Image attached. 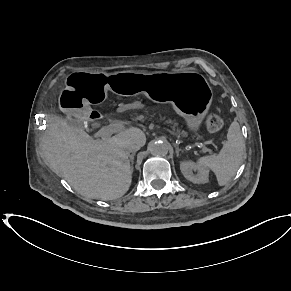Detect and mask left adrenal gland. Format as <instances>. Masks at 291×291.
I'll use <instances>...</instances> for the list:
<instances>
[{
	"label": "left adrenal gland",
	"mask_w": 291,
	"mask_h": 291,
	"mask_svg": "<svg viewBox=\"0 0 291 291\" xmlns=\"http://www.w3.org/2000/svg\"><path fill=\"white\" fill-rule=\"evenodd\" d=\"M176 147V155L177 157H179V152L182 151L177 145H175Z\"/></svg>",
	"instance_id": "a2214340"
}]
</instances>
